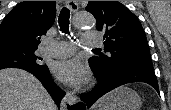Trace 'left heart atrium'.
I'll return each mask as SVG.
<instances>
[{"label":"left heart atrium","instance_id":"left-heart-atrium-1","mask_svg":"<svg viewBox=\"0 0 171 110\" xmlns=\"http://www.w3.org/2000/svg\"><path fill=\"white\" fill-rule=\"evenodd\" d=\"M52 71L58 80L71 86L82 84L88 75L86 67L79 58L57 61L53 64Z\"/></svg>","mask_w":171,"mask_h":110}]
</instances>
